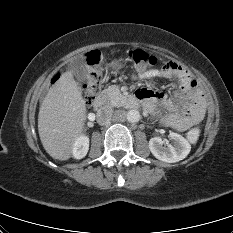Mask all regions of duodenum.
Masks as SVG:
<instances>
[{
  "instance_id": "duodenum-1",
  "label": "duodenum",
  "mask_w": 233,
  "mask_h": 233,
  "mask_svg": "<svg viewBox=\"0 0 233 233\" xmlns=\"http://www.w3.org/2000/svg\"><path fill=\"white\" fill-rule=\"evenodd\" d=\"M139 97L137 95L131 96L126 100V106L129 108H135L139 103ZM107 98L105 95L98 96L93 105L96 109H101L106 104Z\"/></svg>"
}]
</instances>
